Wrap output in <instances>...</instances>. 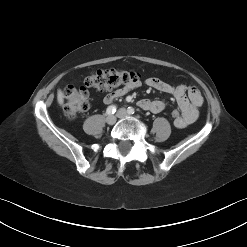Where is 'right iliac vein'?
Returning a JSON list of instances; mask_svg holds the SVG:
<instances>
[{"instance_id":"63e3f726","label":"right iliac vein","mask_w":247,"mask_h":247,"mask_svg":"<svg viewBox=\"0 0 247 247\" xmlns=\"http://www.w3.org/2000/svg\"><path fill=\"white\" fill-rule=\"evenodd\" d=\"M106 122L109 125H113L116 122V117L114 115H110L106 118Z\"/></svg>"}]
</instances>
